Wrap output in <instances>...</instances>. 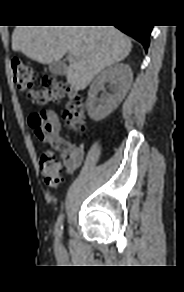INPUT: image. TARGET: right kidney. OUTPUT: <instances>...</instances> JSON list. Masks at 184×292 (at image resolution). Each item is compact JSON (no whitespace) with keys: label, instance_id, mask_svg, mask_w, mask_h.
I'll return each instance as SVG.
<instances>
[{"label":"right kidney","instance_id":"ca27d5eb","mask_svg":"<svg viewBox=\"0 0 184 292\" xmlns=\"http://www.w3.org/2000/svg\"><path fill=\"white\" fill-rule=\"evenodd\" d=\"M133 81V73L128 64L116 63L101 71L92 82L88 91L87 110L91 119L99 121L113 112L126 96ZM110 83V92L100 100L96 96L104 83Z\"/></svg>","mask_w":184,"mask_h":292}]
</instances>
